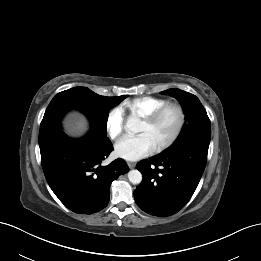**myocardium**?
I'll list each match as a JSON object with an SVG mask.
<instances>
[{
    "mask_svg": "<svg viewBox=\"0 0 261 261\" xmlns=\"http://www.w3.org/2000/svg\"><path fill=\"white\" fill-rule=\"evenodd\" d=\"M168 111H174L176 113V115H177L176 126H175L173 132L171 133V135L166 140H164L163 142H161L160 144H158L157 146H155L153 148L154 152H161V151L169 148L180 137V135L185 127V124H186L185 110L178 103L168 102V103L164 104L163 106L159 107L158 109H156L155 111H153L152 113H150L149 115L141 118L142 122L152 125V124H155L156 122H158Z\"/></svg>",
    "mask_w": 261,
    "mask_h": 261,
    "instance_id": "obj_1",
    "label": "myocardium"
}]
</instances>
